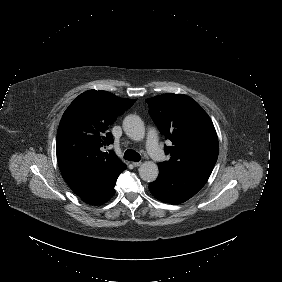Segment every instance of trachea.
<instances>
[{
	"label": "trachea",
	"instance_id": "obj_1",
	"mask_svg": "<svg viewBox=\"0 0 282 282\" xmlns=\"http://www.w3.org/2000/svg\"><path fill=\"white\" fill-rule=\"evenodd\" d=\"M124 159H126L128 161L138 162L141 159V156L138 152H136L132 149H128L124 153Z\"/></svg>",
	"mask_w": 282,
	"mask_h": 282
}]
</instances>
